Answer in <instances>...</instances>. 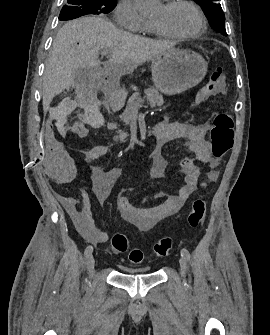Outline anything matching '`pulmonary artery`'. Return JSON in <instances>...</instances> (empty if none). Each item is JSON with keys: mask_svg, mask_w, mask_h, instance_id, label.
<instances>
[{"mask_svg": "<svg viewBox=\"0 0 270 335\" xmlns=\"http://www.w3.org/2000/svg\"><path fill=\"white\" fill-rule=\"evenodd\" d=\"M165 2H170L171 0H164Z\"/></svg>", "mask_w": 270, "mask_h": 335, "instance_id": "obj_1", "label": "pulmonary artery"}]
</instances>
